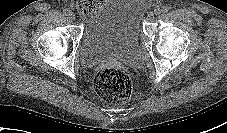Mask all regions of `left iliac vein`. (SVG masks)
<instances>
[{
  "instance_id": "left-iliac-vein-1",
  "label": "left iliac vein",
  "mask_w": 227,
  "mask_h": 133,
  "mask_svg": "<svg viewBox=\"0 0 227 133\" xmlns=\"http://www.w3.org/2000/svg\"><path fill=\"white\" fill-rule=\"evenodd\" d=\"M162 12H163V11H162L161 8H156V9L154 10V14H155V15H160Z\"/></svg>"
}]
</instances>
